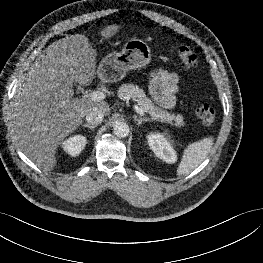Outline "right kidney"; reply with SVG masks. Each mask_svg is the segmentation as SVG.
I'll return each instance as SVG.
<instances>
[{
    "label": "right kidney",
    "instance_id": "right-kidney-1",
    "mask_svg": "<svg viewBox=\"0 0 263 263\" xmlns=\"http://www.w3.org/2000/svg\"><path fill=\"white\" fill-rule=\"evenodd\" d=\"M86 137L83 135H75L65 140L62 145L66 153L71 156H78L86 145Z\"/></svg>",
    "mask_w": 263,
    "mask_h": 263
}]
</instances>
